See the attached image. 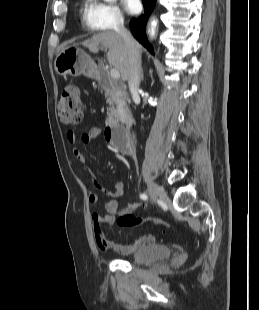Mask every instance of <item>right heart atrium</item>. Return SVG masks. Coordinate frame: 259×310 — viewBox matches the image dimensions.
I'll use <instances>...</instances> for the list:
<instances>
[{"label": "right heart atrium", "mask_w": 259, "mask_h": 310, "mask_svg": "<svg viewBox=\"0 0 259 310\" xmlns=\"http://www.w3.org/2000/svg\"><path fill=\"white\" fill-rule=\"evenodd\" d=\"M91 18L100 29L114 30L124 23V15L120 8L101 0H91Z\"/></svg>", "instance_id": "1"}]
</instances>
